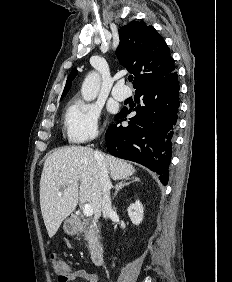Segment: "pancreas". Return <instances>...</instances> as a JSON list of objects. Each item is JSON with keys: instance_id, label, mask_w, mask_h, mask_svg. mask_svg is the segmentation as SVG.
<instances>
[{"instance_id": "cf45deb5", "label": "pancreas", "mask_w": 232, "mask_h": 282, "mask_svg": "<svg viewBox=\"0 0 232 282\" xmlns=\"http://www.w3.org/2000/svg\"><path fill=\"white\" fill-rule=\"evenodd\" d=\"M99 230L96 226H90L85 230V240L91 241L93 239H98Z\"/></svg>"}]
</instances>
